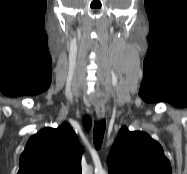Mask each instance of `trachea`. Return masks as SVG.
I'll list each match as a JSON object with an SVG mask.
<instances>
[{"label": "trachea", "instance_id": "trachea-1", "mask_svg": "<svg viewBox=\"0 0 187 174\" xmlns=\"http://www.w3.org/2000/svg\"><path fill=\"white\" fill-rule=\"evenodd\" d=\"M106 121L104 119L99 122H94V132H93V141L97 150L100 149L104 133H105Z\"/></svg>", "mask_w": 187, "mask_h": 174}]
</instances>
